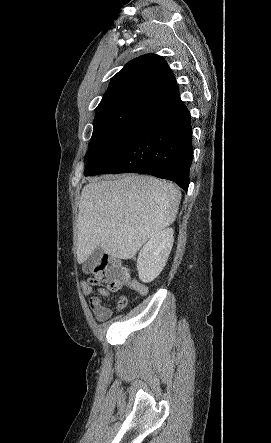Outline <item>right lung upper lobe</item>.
<instances>
[{
	"instance_id": "1",
	"label": "right lung upper lobe",
	"mask_w": 271,
	"mask_h": 443,
	"mask_svg": "<svg viewBox=\"0 0 271 443\" xmlns=\"http://www.w3.org/2000/svg\"><path fill=\"white\" fill-rule=\"evenodd\" d=\"M177 95L178 86L166 61L146 54L128 62L113 76L98 106L123 100L155 104Z\"/></svg>"
}]
</instances>
